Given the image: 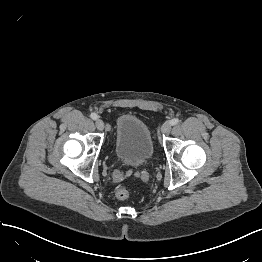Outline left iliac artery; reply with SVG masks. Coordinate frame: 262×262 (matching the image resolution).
I'll list each match as a JSON object with an SVG mask.
<instances>
[{
	"label": "left iliac artery",
	"instance_id": "1",
	"mask_svg": "<svg viewBox=\"0 0 262 262\" xmlns=\"http://www.w3.org/2000/svg\"><path fill=\"white\" fill-rule=\"evenodd\" d=\"M179 122H180V120H179L178 118H174V119H172V120L169 121V123H170L171 125H177Z\"/></svg>",
	"mask_w": 262,
	"mask_h": 262
}]
</instances>
